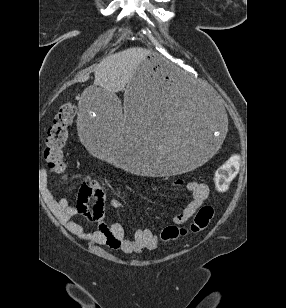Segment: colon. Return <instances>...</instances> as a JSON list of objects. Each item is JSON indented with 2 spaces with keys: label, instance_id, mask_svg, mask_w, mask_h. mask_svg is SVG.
I'll return each instance as SVG.
<instances>
[{
  "label": "colon",
  "instance_id": "colon-1",
  "mask_svg": "<svg viewBox=\"0 0 286 308\" xmlns=\"http://www.w3.org/2000/svg\"><path fill=\"white\" fill-rule=\"evenodd\" d=\"M75 116L76 105L74 103L66 102L62 104L48 131L47 148L44 156L49 169L56 175L64 176L66 173L64 150ZM240 166L241 157L238 154H233L217 169L214 177V186L218 192H226L229 189ZM213 215L214 210L211 206H202L189 226H167L161 232V239L167 242L185 237L190 233H199L207 228Z\"/></svg>",
  "mask_w": 286,
  "mask_h": 308
}]
</instances>
